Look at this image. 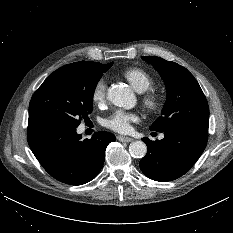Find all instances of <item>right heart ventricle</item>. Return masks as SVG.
I'll return each mask as SVG.
<instances>
[{"mask_svg": "<svg viewBox=\"0 0 233 233\" xmlns=\"http://www.w3.org/2000/svg\"><path fill=\"white\" fill-rule=\"evenodd\" d=\"M123 76L130 82L138 92H145L153 85L151 76L142 69L131 68L123 73Z\"/></svg>", "mask_w": 233, "mask_h": 233, "instance_id": "1", "label": "right heart ventricle"}]
</instances>
